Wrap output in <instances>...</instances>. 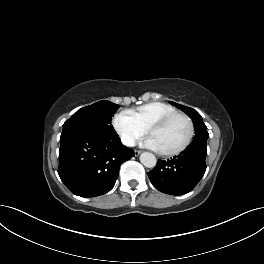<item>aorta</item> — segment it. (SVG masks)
I'll return each mask as SVG.
<instances>
[{
  "label": "aorta",
  "mask_w": 264,
  "mask_h": 264,
  "mask_svg": "<svg viewBox=\"0 0 264 264\" xmlns=\"http://www.w3.org/2000/svg\"><path fill=\"white\" fill-rule=\"evenodd\" d=\"M140 162L147 168H154L157 164L155 155L150 152H143L140 155Z\"/></svg>",
  "instance_id": "aorta-1"
}]
</instances>
